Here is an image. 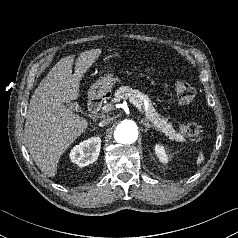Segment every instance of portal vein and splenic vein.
I'll list each match as a JSON object with an SVG mask.
<instances>
[{
    "label": "portal vein and splenic vein",
    "mask_w": 238,
    "mask_h": 238,
    "mask_svg": "<svg viewBox=\"0 0 238 238\" xmlns=\"http://www.w3.org/2000/svg\"><path fill=\"white\" fill-rule=\"evenodd\" d=\"M129 101H130L142 114H144V111H143V109H142V107H141V104H140L139 102H137V101H135V100H132V99H130ZM111 108H112V105H106V106L103 107V110H104V112H108V111L111 110Z\"/></svg>",
    "instance_id": "1"
}]
</instances>
